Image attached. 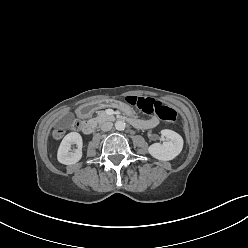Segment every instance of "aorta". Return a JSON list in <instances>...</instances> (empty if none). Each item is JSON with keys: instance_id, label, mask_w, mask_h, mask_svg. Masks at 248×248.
Wrapping results in <instances>:
<instances>
[{"instance_id": "762f6f07", "label": "aorta", "mask_w": 248, "mask_h": 248, "mask_svg": "<svg viewBox=\"0 0 248 248\" xmlns=\"http://www.w3.org/2000/svg\"><path fill=\"white\" fill-rule=\"evenodd\" d=\"M125 127H126V124H125L124 121H122V120H117V121L115 122V128H116L117 130L122 131V130L125 129Z\"/></svg>"}]
</instances>
